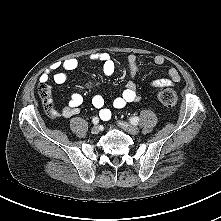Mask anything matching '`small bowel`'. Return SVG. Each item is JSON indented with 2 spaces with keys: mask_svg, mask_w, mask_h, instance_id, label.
<instances>
[{
  "mask_svg": "<svg viewBox=\"0 0 221 221\" xmlns=\"http://www.w3.org/2000/svg\"><path fill=\"white\" fill-rule=\"evenodd\" d=\"M126 60L129 67L130 77L131 79L127 82L125 89L121 93V95L114 98L112 104L113 107L116 109H122L127 104L136 102L139 100V95L137 93V85L133 80L134 76L139 70V66L137 63V57L135 54H127ZM86 62H93L99 61L102 63V72L105 76H111L115 71V64L114 61L109 53L106 52H99V53H92L87 55L84 58ZM154 62L157 65H162L165 62L164 57L158 55L154 58ZM80 64L79 59L77 58H68L65 61L55 64L52 67V71H57L53 74L52 79L55 84L61 85L64 84L68 80V73L74 71L78 68ZM50 79L49 73H43L40 76V83L46 84ZM181 80V76L178 70L174 67L168 68V78H162L155 80L153 82V87H160V86H173ZM84 101L83 96L80 93H73L70 96L68 105L64 107L61 112V116L65 118H70L79 113V108ZM92 105L94 108L99 110V116L103 121H108L112 117V112L110 109L105 107V99L102 95H95L92 98Z\"/></svg>",
  "mask_w": 221,
  "mask_h": 221,
  "instance_id": "small-bowel-1",
  "label": "small bowel"
}]
</instances>
